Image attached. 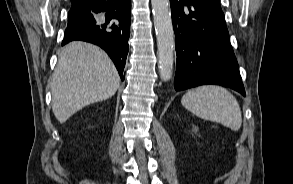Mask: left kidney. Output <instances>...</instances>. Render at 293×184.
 Wrapping results in <instances>:
<instances>
[{
	"label": "left kidney",
	"instance_id": "left-kidney-1",
	"mask_svg": "<svg viewBox=\"0 0 293 184\" xmlns=\"http://www.w3.org/2000/svg\"><path fill=\"white\" fill-rule=\"evenodd\" d=\"M194 130H195V131H197V130H198V128H197V127H195V128H194Z\"/></svg>",
	"mask_w": 293,
	"mask_h": 184
}]
</instances>
